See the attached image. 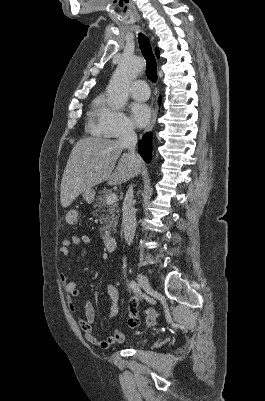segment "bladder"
<instances>
[{
    "label": "bladder",
    "instance_id": "obj_1",
    "mask_svg": "<svg viewBox=\"0 0 265 401\" xmlns=\"http://www.w3.org/2000/svg\"><path fill=\"white\" fill-rule=\"evenodd\" d=\"M145 340H140V341H135L134 344L136 346H141L142 344H144Z\"/></svg>",
    "mask_w": 265,
    "mask_h": 401
}]
</instances>
